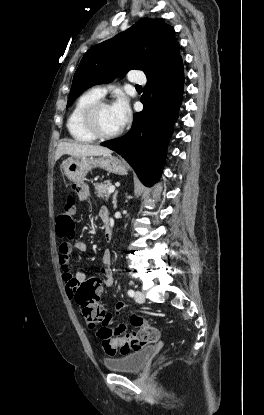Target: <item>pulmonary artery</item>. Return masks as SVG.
Returning a JSON list of instances; mask_svg holds the SVG:
<instances>
[{"label": "pulmonary artery", "instance_id": "obj_1", "mask_svg": "<svg viewBox=\"0 0 264 415\" xmlns=\"http://www.w3.org/2000/svg\"><path fill=\"white\" fill-rule=\"evenodd\" d=\"M129 81L133 84L143 83L145 81V75L144 74H131L129 76ZM108 89H109L108 86L98 85V86H95L92 89V91L99 97H103L107 93Z\"/></svg>", "mask_w": 264, "mask_h": 415}]
</instances>
